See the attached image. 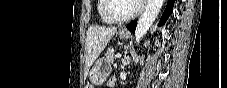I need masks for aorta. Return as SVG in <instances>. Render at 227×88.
Instances as JSON below:
<instances>
[{
  "label": "aorta",
  "instance_id": "aorta-1",
  "mask_svg": "<svg viewBox=\"0 0 227 88\" xmlns=\"http://www.w3.org/2000/svg\"><path fill=\"white\" fill-rule=\"evenodd\" d=\"M164 0H148L146 9L140 19L135 32V43H139L157 18Z\"/></svg>",
  "mask_w": 227,
  "mask_h": 88
}]
</instances>
